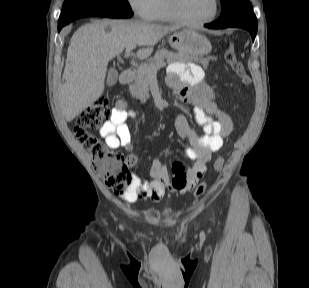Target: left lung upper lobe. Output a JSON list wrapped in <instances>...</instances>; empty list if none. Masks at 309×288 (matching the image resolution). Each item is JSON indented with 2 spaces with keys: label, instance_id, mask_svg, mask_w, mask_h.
Returning <instances> with one entry per match:
<instances>
[{
  "label": "left lung upper lobe",
  "instance_id": "left-lung-upper-lobe-1",
  "mask_svg": "<svg viewBox=\"0 0 309 288\" xmlns=\"http://www.w3.org/2000/svg\"><path fill=\"white\" fill-rule=\"evenodd\" d=\"M221 5L220 20L229 19L252 10L251 3L248 0H221Z\"/></svg>",
  "mask_w": 309,
  "mask_h": 288
}]
</instances>
